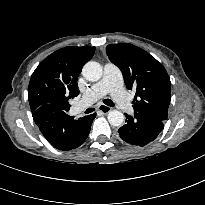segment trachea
Wrapping results in <instances>:
<instances>
[{"label": "trachea", "mask_w": 205, "mask_h": 205, "mask_svg": "<svg viewBox=\"0 0 205 205\" xmlns=\"http://www.w3.org/2000/svg\"><path fill=\"white\" fill-rule=\"evenodd\" d=\"M103 102H104L107 106H110V107L115 106V104L113 103V101L110 100V99H105V100H103ZM92 111H94V108H88V109L86 110V113H90V112H92Z\"/></svg>", "instance_id": "1"}]
</instances>
